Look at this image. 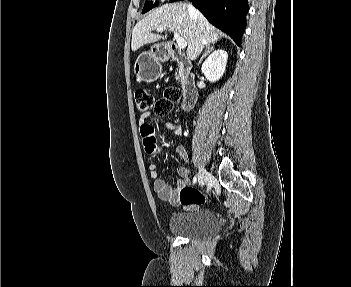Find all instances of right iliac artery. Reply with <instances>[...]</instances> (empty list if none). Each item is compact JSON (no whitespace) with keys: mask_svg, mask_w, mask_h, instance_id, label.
<instances>
[{"mask_svg":"<svg viewBox=\"0 0 351 287\" xmlns=\"http://www.w3.org/2000/svg\"><path fill=\"white\" fill-rule=\"evenodd\" d=\"M197 180H198V176H197V175H195V176H194V178H193V183H196V182H197Z\"/></svg>","mask_w":351,"mask_h":287,"instance_id":"right-iliac-artery-1","label":"right iliac artery"}]
</instances>
